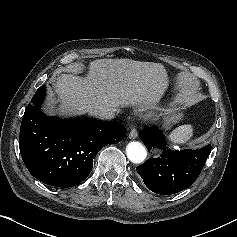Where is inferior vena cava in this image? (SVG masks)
<instances>
[{"label": "inferior vena cava", "instance_id": "1", "mask_svg": "<svg viewBox=\"0 0 237 237\" xmlns=\"http://www.w3.org/2000/svg\"><path fill=\"white\" fill-rule=\"evenodd\" d=\"M115 109H100V110H94L91 112V115L95 116L96 118H99L101 120H111L115 117Z\"/></svg>", "mask_w": 237, "mask_h": 237}]
</instances>
